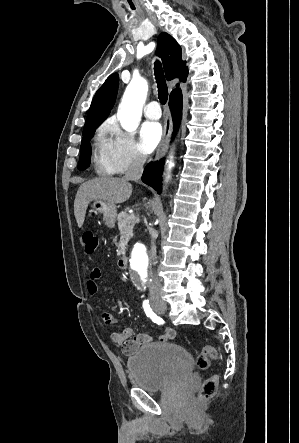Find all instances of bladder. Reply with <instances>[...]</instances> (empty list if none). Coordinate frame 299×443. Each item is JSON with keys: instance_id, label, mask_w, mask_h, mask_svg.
Here are the masks:
<instances>
[{"instance_id": "1", "label": "bladder", "mask_w": 299, "mask_h": 443, "mask_svg": "<svg viewBox=\"0 0 299 443\" xmlns=\"http://www.w3.org/2000/svg\"><path fill=\"white\" fill-rule=\"evenodd\" d=\"M191 354L176 343H152L140 348L127 361L132 382L147 391H160L190 378Z\"/></svg>"}]
</instances>
